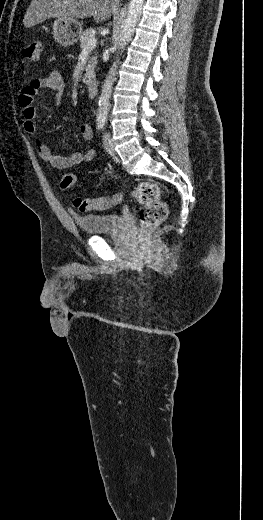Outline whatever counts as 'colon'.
<instances>
[{"label": "colon", "instance_id": "1", "mask_svg": "<svg viewBox=\"0 0 263 520\" xmlns=\"http://www.w3.org/2000/svg\"><path fill=\"white\" fill-rule=\"evenodd\" d=\"M41 49V41L34 39L23 49V55L28 60L37 62L40 57ZM76 181L77 178L75 174L66 173L61 179V188L63 190H71L75 187ZM129 192L138 203L142 205L140 225L143 229H148L162 222L167 217V204L162 200L159 186L156 183L140 182L131 188ZM123 198V192L100 198L76 197L73 200V204L80 212L99 211L120 203Z\"/></svg>", "mask_w": 263, "mask_h": 520}]
</instances>
